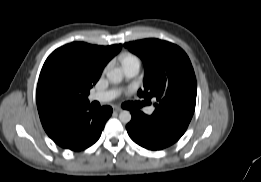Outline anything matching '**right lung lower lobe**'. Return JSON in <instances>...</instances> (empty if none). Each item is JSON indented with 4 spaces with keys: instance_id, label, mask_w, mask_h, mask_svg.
I'll return each instance as SVG.
<instances>
[{
    "instance_id": "right-lung-lower-lobe-1",
    "label": "right lung lower lobe",
    "mask_w": 261,
    "mask_h": 182,
    "mask_svg": "<svg viewBox=\"0 0 261 182\" xmlns=\"http://www.w3.org/2000/svg\"><path fill=\"white\" fill-rule=\"evenodd\" d=\"M111 114L110 106H104L98 111L91 108L79 110L55 136L50 138L62 148L73 151L84 150L99 139Z\"/></svg>"
}]
</instances>
